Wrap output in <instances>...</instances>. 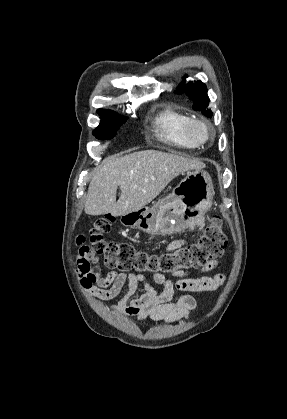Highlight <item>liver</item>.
Masks as SVG:
<instances>
[{
  "label": "liver",
  "instance_id": "obj_1",
  "mask_svg": "<svg viewBox=\"0 0 287 419\" xmlns=\"http://www.w3.org/2000/svg\"><path fill=\"white\" fill-rule=\"evenodd\" d=\"M198 159L158 150H143L123 157L106 158L90 182L84 211L114 217L149 204L178 175L201 170ZM121 195L116 202L117 188Z\"/></svg>",
  "mask_w": 287,
  "mask_h": 419
}]
</instances>
